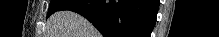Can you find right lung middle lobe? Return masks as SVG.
Masks as SVG:
<instances>
[{
	"label": "right lung middle lobe",
	"mask_w": 219,
	"mask_h": 37,
	"mask_svg": "<svg viewBox=\"0 0 219 37\" xmlns=\"http://www.w3.org/2000/svg\"><path fill=\"white\" fill-rule=\"evenodd\" d=\"M68 1L66 0H52L50 3V7L47 13V17L55 13L56 11H59L60 8L67 3Z\"/></svg>",
	"instance_id": "dd1d6c3e"
}]
</instances>
